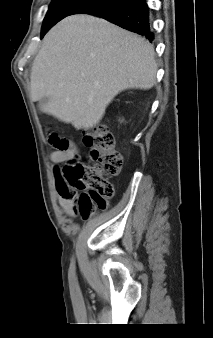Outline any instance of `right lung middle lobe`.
I'll return each instance as SVG.
<instances>
[{
	"label": "right lung middle lobe",
	"instance_id": "dd1d6c3e",
	"mask_svg": "<svg viewBox=\"0 0 213 338\" xmlns=\"http://www.w3.org/2000/svg\"><path fill=\"white\" fill-rule=\"evenodd\" d=\"M90 1L91 0H53L43 21L41 37L57 22L71 15L77 8Z\"/></svg>",
	"mask_w": 213,
	"mask_h": 338
}]
</instances>
